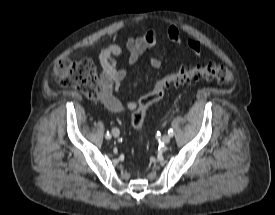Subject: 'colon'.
Segmentation results:
<instances>
[{"instance_id": "colon-1", "label": "colon", "mask_w": 275, "mask_h": 215, "mask_svg": "<svg viewBox=\"0 0 275 215\" xmlns=\"http://www.w3.org/2000/svg\"><path fill=\"white\" fill-rule=\"evenodd\" d=\"M55 74L61 85L77 89L89 99H98L102 95V86L90 58L61 59L55 65ZM196 80H214L218 83L228 84L233 81V73L223 65L208 62L189 68L181 67L176 72L166 75L156 82L149 94L141 97L138 101L131 118L133 127L138 131L143 130L147 108L152 103L159 101L166 90Z\"/></svg>"}]
</instances>
